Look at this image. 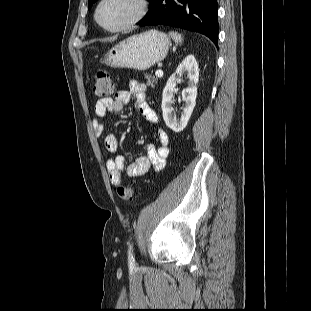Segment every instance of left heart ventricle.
I'll list each match as a JSON object with an SVG mask.
<instances>
[{
    "label": "left heart ventricle",
    "mask_w": 311,
    "mask_h": 311,
    "mask_svg": "<svg viewBox=\"0 0 311 311\" xmlns=\"http://www.w3.org/2000/svg\"><path fill=\"white\" fill-rule=\"evenodd\" d=\"M135 12L131 0H107L101 7L99 18L109 27H116L126 22Z\"/></svg>",
    "instance_id": "left-heart-ventricle-1"
}]
</instances>
